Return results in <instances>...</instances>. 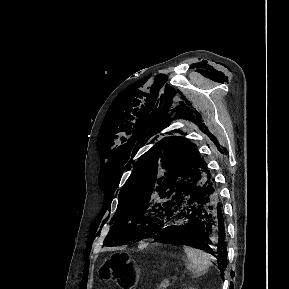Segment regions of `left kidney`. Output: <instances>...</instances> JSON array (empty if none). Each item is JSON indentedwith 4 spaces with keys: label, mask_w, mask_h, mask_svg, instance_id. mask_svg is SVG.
Here are the masks:
<instances>
[{
    "label": "left kidney",
    "mask_w": 289,
    "mask_h": 289,
    "mask_svg": "<svg viewBox=\"0 0 289 289\" xmlns=\"http://www.w3.org/2000/svg\"><path fill=\"white\" fill-rule=\"evenodd\" d=\"M184 289H196V288H193V287H188V288H184Z\"/></svg>",
    "instance_id": "5707ae66"
}]
</instances>
